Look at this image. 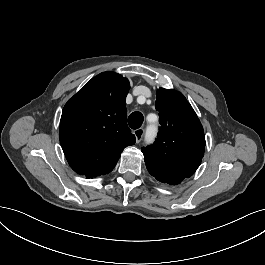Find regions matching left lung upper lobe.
Wrapping results in <instances>:
<instances>
[{"label": "left lung upper lobe", "instance_id": "obj_1", "mask_svg": "<svg viewBox=\"0 0 265 265\" xmlns=\"http://www.w3.org/2000/svg\"><path fill=\"white\" fill-rule=\"evenodd\" d=\"M159 133L142 153L149 173L158 181L177 185L191 177L205 151L203 127L186 98L176 90L160 88L156 94Z\"/></svg>", "mask_w": 265, "mask_h": 265}]
</instances>
